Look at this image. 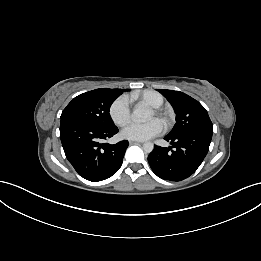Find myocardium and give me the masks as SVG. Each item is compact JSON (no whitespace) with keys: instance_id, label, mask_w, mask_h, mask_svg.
I'll list each match as a JSON object with an SVG mask.
<instances>
[{"instance_id":"f54148a6","label":"myocardium","mask_w":261,"mask_h":261,"mask_svg":"<svg viewBox=\"0 0 261 261\" xmlns=\"http://www.w3.org/2000/svg\"><path fill=\"white\" fill-rule=\"evenodd\" d=\"M153 112H154L155 115L161 117L165 124H168V122H169V115H168L167 112L162 111L159 108H154Z\"/></svg>"}]
</instances>
